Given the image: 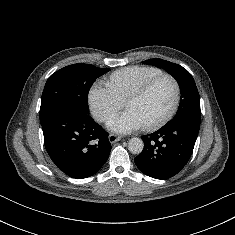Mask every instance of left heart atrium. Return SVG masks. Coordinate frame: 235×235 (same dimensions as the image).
I'll return each instance as SVG.
<instances>
[{
  "instance_id": "left-heart-atrium-1",
  "label": "left heart atrium",
  "mask_w": 235,
  "mask_h": 235,
  "mask_svg": "<svg viewBox=\"0 0 235 235\" xmlns=\"http://www.w3.org/2000/svg\"><path fill=\"white\" fill-rule=\"evenodd\" d=\"M143 126L141 119L131 109L115 115L108 122V127L118 133H129Z\"/></svg>"
}]
</instances>
